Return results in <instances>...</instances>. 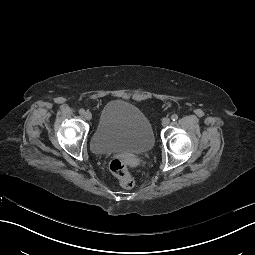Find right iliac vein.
I'll return each mask as SVG.
<instances>
[{"mask_svg":"<svg viewBox=\"0 0 255 255\" xmlns=\"http://www.w3.org/2000/svg\"><path fill=\"white\" fill-rule=\"evenodd\" d=\"M84 117L87 119V120H91L92 118V114L90 111H86L85 114H84Z\"/></svg>","mask_w":255,"mask_h":255,"instance_id":"right-iliac-vein-1","label":"right iliac vein"}]
</instances>
